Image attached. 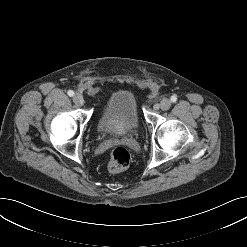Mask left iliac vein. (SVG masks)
I'll list each match as a JSON object with an SVG mask.
<instances>
[{
    "mask_svg": "<svg viewBox=\"0 0 247 247\" xmlns=\"http://www.w3.org/2000/svg\"><path fill=\"white\" fill-rule=\"evenodd\" d=\"M170 107H171V101L169 99L165 98L160 102V108L163 111L168 110Z\"/></svg>",
    "mask_w": 247,
    "mask_h": 247,
    "instance_id": "4c4485c4",
    "label": "left iliac vein"
}]
</instances>
